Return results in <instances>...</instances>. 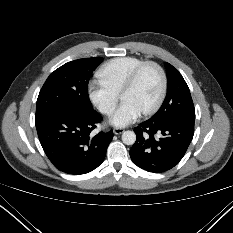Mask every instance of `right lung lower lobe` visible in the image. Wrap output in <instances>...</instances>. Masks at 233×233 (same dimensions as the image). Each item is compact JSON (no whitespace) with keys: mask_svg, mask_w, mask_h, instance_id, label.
I'll use <instances>...</instances> for the list:
<instances>
[{"mask_svg":"<svg viewBox=\"0 0 233 233\" xmlns=\"http://www.w3.org/2000/svg\"><path fill=\"white\" fill-rule=\"evenodd\" d=\"M102 120L95 110L56 111L36 117L40 143L53 165L68 174H85L104 160L113 131H92Z\"/></svg>","mask_w":233,"mask_h":233,"instance_id":"98d812e1","label":"right lung lower lobe"}]
</instances>
